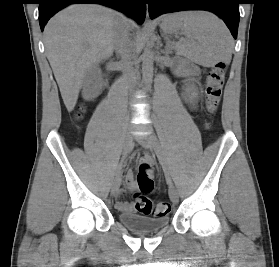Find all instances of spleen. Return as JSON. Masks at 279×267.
<instances>
[{
  "label": "spleen",
  "mask_w": 279,
  "mask_h": 267,
  "mask_svg": "<svg viewBox=\"0 0 279 267\" xmlns=\"http://www.w3.org/2000/svg\"><path fill=\"white\" fill-rule=\"evenodd\" d=\"M187 39L174 44L179 55L202 65L219 61L230 63L233 40L222 20L204 11H184L175 14Z\"/></svg>",
  "instance_id": "1"
}]
</instances>
